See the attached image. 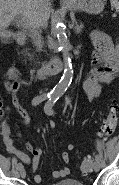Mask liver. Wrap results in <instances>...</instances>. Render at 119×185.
Instances as JSON below:
<instances>
[{
	"instance_id": "obj_1",
	"label": "liver",
	"mask_w": 119,
	"mask_h": 185,
	"mask_svg": "<svg viewBox=\"0 0 119 185\" xmlns=\"http://www.w3.org/2000/svg\"><path fill=\"white\" fill-rule=\"evenodd\" d=\"M17 15L25 17L33 28L50 17L49 0H0V30L6 29Z\"/></svg>"
}]
</instances>
